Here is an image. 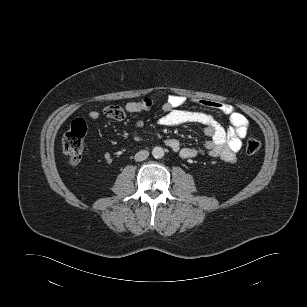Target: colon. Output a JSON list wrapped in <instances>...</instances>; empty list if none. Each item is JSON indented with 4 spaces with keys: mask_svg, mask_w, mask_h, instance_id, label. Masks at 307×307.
<instances>
[{
    "mask_svg": "<svg viewBox=\"0 0 307 307\" xmlns=\"http://www.w3.org/2000/svg\"><path fill=\"white\" fill-rule=\"evenodd\" d=\"M86 132L87 127L84 120L77 119L73 121L62 139L63 152L69 157L72 164H78L82 158ZM260 147L261 143L257 139L250 138L246 141L245 152L253 155L259 151Z\"/></svg>",
    "mask_w": 307,
    "mask_h": 307,
    "instance_id": "colon-1",
    "label": "colon"
}]
</instances>
